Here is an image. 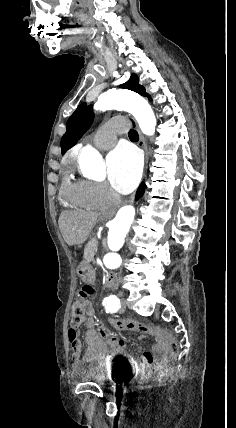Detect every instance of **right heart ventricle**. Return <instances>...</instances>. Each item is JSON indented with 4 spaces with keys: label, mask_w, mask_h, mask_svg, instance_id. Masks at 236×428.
Masks as SVG:
<instances>
[{
    "label": "right heart ventricle",
    "mask_w": 236,
    "mask_h": 428,
    "mask_svg": "<svg viewBox=\"0 0 236 428\" xmlns=\"http://www.w3.org/2000/svg\"><path fill=\"white\" fill-rule=\"evenodd\" d=\"M81 158L78 157L76 160L68 163L67 172L60 187V194L65 200L73 204L86 209L96 210L99 209L103 203L92 195L87 181L75 179L72 174L75 165L78 163L80 164Z\"/></svg>",
    "instance_id": "obj_1"
}]
</instances>
